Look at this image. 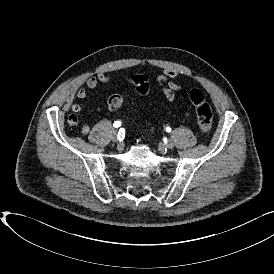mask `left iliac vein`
I'll return each instance as SVG.
<instances>
[{
    "mask_svg": "<svg viewBox=\"0 0 274 274\" xmlns=\"http://www.w3.org/2000/svg\"><path fill=\"white\" fill-rule=\"evenodd\" d=\"M165 148L167 149H172L174 147V142L172 139H169L166 143H165Z\"/></svg>",
    "mask_w": 274,
    "mask_h": 274,
    "instance_id": "4c4485c4",
    "label": "left iliac vein"
}]
</instances>
